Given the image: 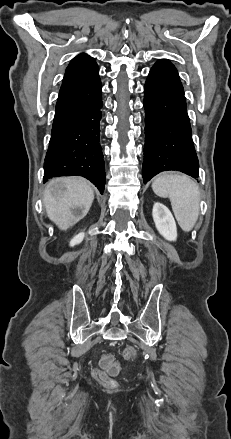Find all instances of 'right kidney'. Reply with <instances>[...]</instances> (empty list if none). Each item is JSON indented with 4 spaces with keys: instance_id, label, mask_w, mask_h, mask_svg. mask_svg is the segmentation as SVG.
I'll return each instance as SVG.
<instances>
[{
    "instance_id": "right-kidney-1",
    "label": "right kidney",
    "mask_w": 231,
    "mask_h": 439,
    "mask_svg": "<svg viewBox=\"0 0 231 439\" xmlns=\"http://www.w3.org/2000/svg\"><path fill=\"white\" fill-rule=\"evenodd\" d=\"M84 239V232H81L79 234H77L71 241H70V246H75L79 243H81Z\"/></svg>"
}]
</instances>
